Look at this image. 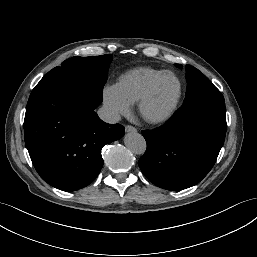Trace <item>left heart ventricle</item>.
Instances as JSON below:
<instances>
[{
	"instance_id": "1",
	"label": "left heart ventricle",
	"mask_w": 257,
	"mask_h": 257,
	"mask_svg": "<svg viewBox=\"0 0 257 257\" xmlns=\"http://www.w3.org/2000/svg\"><path fill=\"white\" fill-rule=\"evenodd\" d=\"M179 92V83L174 76H166L156 87V90L145 107L150 117L164 115L174 104Z\"/></svg>"
}]
</instances>
